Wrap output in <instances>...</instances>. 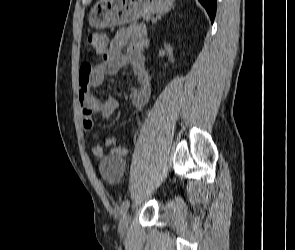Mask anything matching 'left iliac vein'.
I'll list each match as a JSON object with an SVG mask.
<instances>
[{
    "instance_id": "obj_1",
    "label": "left iliac vein",
    "mask_w": 295,
    "mask_h": 250,
    "mask_svg": "<svg viewBox=\"0 0 295 250\" xmlns=\"http://www.w3.org/2000/svg\"><path fill=\"white\" fill-rule=\"evenodd\" d=\"M126 215H127V209H126V211L124 212V215H123V217L121 218V220H120V224H119V233H120L121 235H124V234L126 233V231H127V228H128V222H127V217H126Z\"/></svg>"
}]
</instances>
